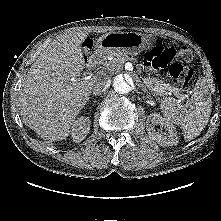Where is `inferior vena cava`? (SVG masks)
Instances as JSON below:
<instances>
[{
    "instance_id": "602c4592",
    "label": "inferior vena cava",
    "mask_w": 221,
    "mask_h": 221,
    "mask_svg": "<svg viewBox=\"0 0 221 221\" xmlns=\"http://www.w3.org/2000/svg\"><path fill=\"white\" fill-rule=\"evenodd\" d=\"M107 76L104 75L94 84L92 88L93 95H101L106 90Z\"/></svg>"
}]
</instances>
